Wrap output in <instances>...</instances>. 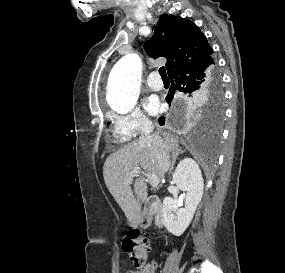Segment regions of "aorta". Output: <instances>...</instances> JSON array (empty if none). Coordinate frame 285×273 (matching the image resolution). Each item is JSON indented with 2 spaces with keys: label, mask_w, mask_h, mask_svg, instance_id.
<instances>
[{
  "label": "aorta",
  "mask_w": 285,
  "mask_h": 273,
  "mask_svg": "<svg viewBox=\"0 0 285 273\" xmlns=\"http://www.w3.org/2000/svg\"><path fill=\"white\" fill-rule=\"evenodd\" d=\"M142 63L136 54L122 57L112 68L107 85L106 100L112 110L128 113L139 97Z\"/></svg>",
  "instance_id": "762f6f07"
}]
</instances>
